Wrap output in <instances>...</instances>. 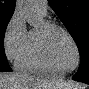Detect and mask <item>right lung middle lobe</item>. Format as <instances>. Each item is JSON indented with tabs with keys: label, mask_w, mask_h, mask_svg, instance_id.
Returning a JSON list of instances; mask_svg holds the SVG:
<instances>
[{
	"label": "right lung middle lobe",
	"mask_w": 89,
	"mask_h": 89,
	"mask_svg": "<svg viewBox=\"0 0 89 89\" xmlns=\"http://www.w3.org/2000/svg\"><path fill=\"white\" fill-rule=\"evenodd\" d=\"M13 13L0 12V63H8L4 52V34Z\"/></svg>",
	"instance_id": "1"
}]
</instances>
